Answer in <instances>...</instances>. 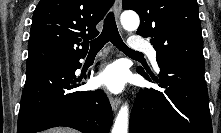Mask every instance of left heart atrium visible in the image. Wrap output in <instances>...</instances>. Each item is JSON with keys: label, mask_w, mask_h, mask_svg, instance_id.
<instances>
[{"label": "left heart atrium", "mask_w": 221, "mask_h": 133, "mask_svg": "<svg viewBox=\"0 0 221 133\" xmlns=\"http://www.w3.org/2000/svg\"><path fill=\"white\" fill-rule=\"evenodd\" d=\"M127 81V73L124 67L118 63L107 66L96 78V84L107 90L121 92Z\"/></svg>", "instance_id": "obj_1"}]
</instances>
